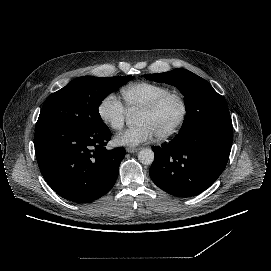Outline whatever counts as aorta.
Listing matches in <instances>:
<instances>
[{"instance_id": "1", "label": "aorta", "mask_w": 271, "mask_h": 271, "mask_svg": "<svg viewBox=\"0 0 271 271\" xmlns=\"http://www.w3.org/2000/svg\"><path fill=\"white\" fill-rule=\"evenodd\" d=\"M154 152L149 148L142 149L138 154V159L143 165H151L154 161Z\"/></svg>"}]
</instances>
